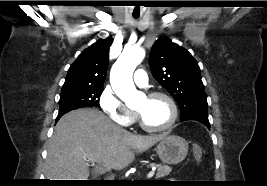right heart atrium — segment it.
<instances>
[{
    "instance_id": "right-heart-atrium-1",
    "label": "right heart atrium",
    "mask_w": 267,
    "mask_h": 186,
    "mask_svg": "<svg viewBox=\"0 0 267 186\" xmlns=\"http://www.w3.org/2000/svg\"><path fill=\"white\" fill-rule=\"evenodd\" d=\"M98 101L106 115L115 123L124 127L133 123L135 114L125 106L110 86L102 90Z\"/></svg>"
}]
</instances>
